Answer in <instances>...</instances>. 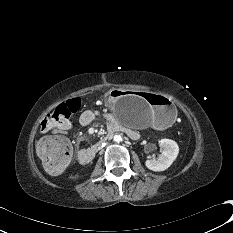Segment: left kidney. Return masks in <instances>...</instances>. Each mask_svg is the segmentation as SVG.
Returning a JSON list of instances; mask_svg holds the SVG:
<instances>
[{
  "label": "left kidney",
  "mask_w": 233,
  "mask_h": 233,
  "mask_svg": "<svg viewBox=\"0 0 233 233\" xmlns=\"http://www.w3.org/2000/svg\"><path fill=\"white\" fill-rule=\"evenodd\" d=\"M162 150L157 159L146 160L145 165L152 171H164L171 166L179 153L178 144L171 139H161L159 141Z\"/></svg>",
  "instance_id": "obj_1"
}]
</instances>
